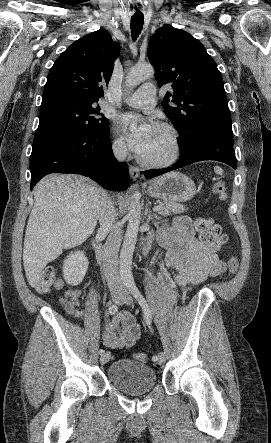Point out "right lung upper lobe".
<instances>
[{
  "instance_id": "1",
  "label": "right lung upper lobe",
  "mask_w": 271,
  "mask_h": 443,
  "mask_svg": "<svg viewBox=\"0 0 271 443\" xmlns=\"http://www.w3.org/2000/svg\"><path fill=\"white\" fill-rule=\"evenodd\" d=\"M119 51L120 46L105 30L75 41L50 69L42 103L56 99L96 103L104 95Z\"/></svg>"
}]
</instances>
